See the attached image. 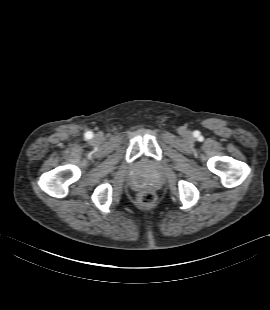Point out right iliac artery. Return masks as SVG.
I'll return each mask as SVG.
<instances>
[{
  "instance_id": "obj_1",
  "label": "right iliac artery",
  "mask_w": 270,
  "mask_h": 310,
  "mask_svg": "<svg viewBox=\"0 0 270 310\" xmlns=\"http://www.w3.org/2000/svg\"><path fill=\"white\" fill-rule=\"evenodd\" d=\"M86 137H87V138H91V137H92V133H91V132H87V133H86Z\"/></svg>"
}]
</instances>
